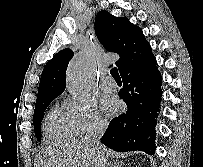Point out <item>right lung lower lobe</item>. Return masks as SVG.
<instances>
[{"label": "right lung lower lobe", "instance_id": "right-lung-lower-lobe-1", "mask_svg": "<svg viewBox=\"0 0 203 167\" xmlns=\"http://www.w3.org/2000/svg\"><path fill=\"white\" fill-rule=\"evenodd\" d=\"M121 76L123 88L119 97L126 103L127 111L111 120L101 142L118 152L141 150L151 155L162 96L156 58L153 56Z\"/></svg>", "mask_w": 203, "mask_h": 167}]
</instances>
